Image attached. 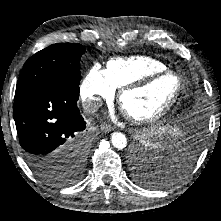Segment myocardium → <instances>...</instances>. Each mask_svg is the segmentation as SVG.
<instances>
[{"mask_svg":"<svg viewBox=\"0 0 221 221\" xmlns=\"http://www.w3.org/2000/svg\"><path fill=\"white\" fill-rule=\"evenodd\" d=\"M163 76H173L177 82V88H176V91H175L173 97L170 99V101L163 108H161L158 112H156L155 114L150 115V116L136 117V116H132L130 114H127L123 111L126 118L128 120H130L132 123H134V124L155 123V122L161 120L164 116H166L170 112V110L175 106V104L177 103V101L181 95V92L183 89L182 79L180 78V76L176 72L166 69L163 71H156V72L148 73V74L144 75L143 77L138 78L137 80H134L132 82H129V83L123 85L120 88V90L118 92V96H117V102H118L119 107L122 109V99L125 94H127L131 91H134V90L144 88L145 86L149 85L155 79L163 77Z\"/></svg>","mask_w":221,"mask_h":221,"instance_id":"f54148a6","label":"myocardium"}]
</instances>
